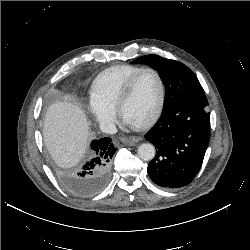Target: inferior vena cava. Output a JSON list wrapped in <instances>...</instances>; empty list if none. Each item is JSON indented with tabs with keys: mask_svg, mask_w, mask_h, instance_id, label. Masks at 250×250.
Returning <instances> with one entry per match:
<instances>
[{
	"mask_svg": "<svg viewBox=\"0 0 250 250\" xmlns=\"http://www.w3.org/2000/svg\"><path fill=\"white\" fill-rule=\"evenodd\" d=\"M100 130L103 133H107V134H115L117 132V128L115 124L109 121H102L100 123Z\"/></svg>",
	"mask_w": 250,
	"mask_h": 250,
	"instance_id": "602c4592",
	"label": "inferior vena cava"
}]
</instances>
